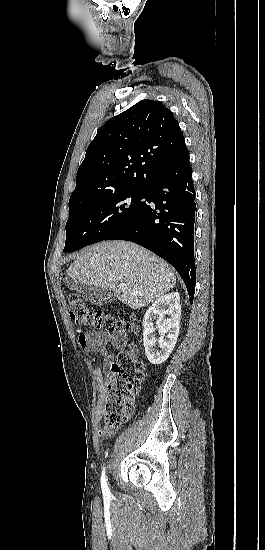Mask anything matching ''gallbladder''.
<instances>
[{
	"instance_id": "bac80fb5",
	"label": "gallbladder",
	"mask_w": 265,
	"mask_h": 550,
	"mask_svg": "<svg viewBox=\"0 0 265 550\" xmlns=\"http://www.w3.org/2000/svg\"><path fill=\"white\" fill-rule=\"evenodd\" d=\"M66 285L71 290H76V292L86 301H89L95 305H104L109 301L115 300V295L108 292L106 289L99 287L81 284L77 286L74 280L67 279Z\"/></svg>"
}]
</instances>
